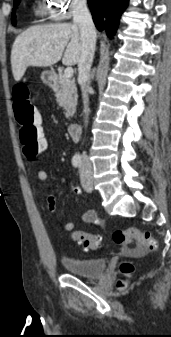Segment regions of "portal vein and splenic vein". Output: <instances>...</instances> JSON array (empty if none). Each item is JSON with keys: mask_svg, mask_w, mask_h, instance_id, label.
<instances>
[{"mask_svg": "<svg viewBox=\"0 0 171 337\" xmlns=\"http://www.w3.org/2000/svg\"><path fill=\"white\" fill-rule=\"evenodd\" d=\"M73 76V68L67 67L64 71V77L70 79Z\"/></svg>", "mask_w": 171, "mask_h": 337, "instance_id": "obj_1", "label": "portal vein and splenic vein"}]
</instances>
